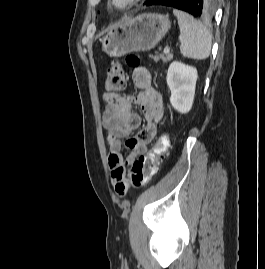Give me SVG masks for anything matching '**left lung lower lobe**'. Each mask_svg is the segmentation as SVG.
Returning <instances> with one entry per match:
<instances>
[{
	"label": "left lung lower lobe",
	"mask_w": 265,
	"mask_h": 269,
	"mask_svg": "<svg viewBox=\"0 0 265 269\" xmlns=\"http://www.w3.org/2000/svg\"><path fill=\"white\" fill-rule=\"evenodd\" d=\"M145 4L174 7L202 19L211 18L215 12V0H148Z\"/></svg>",
	"instance_id": "obj_1"
}]
</instances>
